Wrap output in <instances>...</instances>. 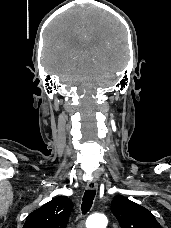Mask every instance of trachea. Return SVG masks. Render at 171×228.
<instances>
[{"label":"trachea","instance_id":"1","mask_svg":"<svg viewBox=\"0 0 171 228\" xmlns=\"http://www.w3.org/2000/svg\"><path fill=\"white\" fill-rule=\"evenodd\" d=\"M96 195V190H86L83 196V202H82V206H81V210L83 213H87L92 204H93V200L95 198Z\"/></svg>","mask_w":171,"mask_h":228}]
</instances>
